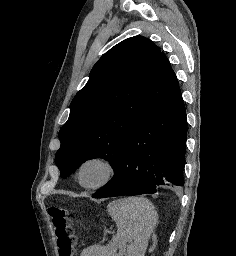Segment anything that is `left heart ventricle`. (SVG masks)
Instances as JSON below:
<instances>
[{"label": "left heart ventricle", "instance_id": "left-heart-ventricle-1", "mask_svg": "<svg viewBox=\"0 0 236 256\" xmlns=\"http://www.w3.org/2000/svg\"><path fill=\"white\" fill-rule=\"evenodd\" d=\"M105 173L106 168L102 164L93 162L84 166L81 178L85 184H93L102 179Z\"/></svg>", "mask_w": 236, "mask_h": 256}]
</instances>
